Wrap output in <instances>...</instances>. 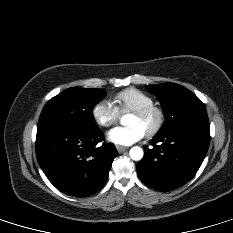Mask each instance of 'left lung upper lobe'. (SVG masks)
<instances>
[{"label": "left lung upper lobe", "instance_id": "left-lung-upper-lobe-1", "mask_svg": "<svg viewBox=\"0 0 233 233\" xmlns=\"http://www.w3.org/2000/svg\"><path fill=\"white\" fill-rule=\"evenodd\" d=\"M164 110L166 121L157 135L193 125L209 124L205 105L187 88L175 83L147 85Z\"/></svg>", "mask_w": 233, "mask_h": 233}]
</instances>
